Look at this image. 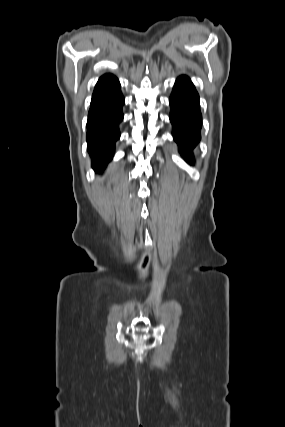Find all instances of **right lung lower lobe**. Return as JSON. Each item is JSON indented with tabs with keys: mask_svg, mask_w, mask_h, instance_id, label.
<instances>
[{
	"mask_svg": "<svg viewBox=\"0 0 285 427\" xmlns=\"http://www.w3.org/2000/svg\"><path fill=\"white\" fill-rule=\"evenodd\" d=\"M123 104L118 79L111 74L103 75L95 86L87 121V150L96 172L102 171L112 158L120 137Z\"/></svg>",
	"mask_w": 285,
	"mask_h": 427,
	"instance_id": "1",
	"label": "right lung lower lobe"
}]
</instances>
